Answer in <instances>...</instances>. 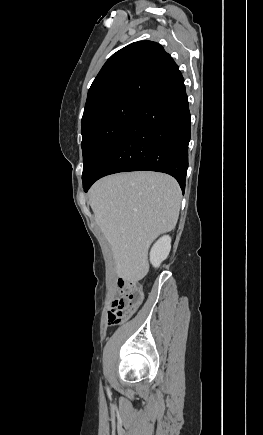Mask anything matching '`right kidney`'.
Listing matches in <instances>:
<instances>
[{
    "label": "right kidney",
    "mask_w": 263,
    "mask_h": 435,
    "mask_svg": "<svg viewBox=\"0 0 263 435\" xmlns=\"http://www.w3.org/2000/svg\"><path fill=\"white\" fill-rule=\"evenodd\" d=\"M171 250V238L168 235L162 236L153 245L150 252V261L154 267H159Z\"/></svg>",
    "instance_id": "right-kidney-1"
}]
</instances>
